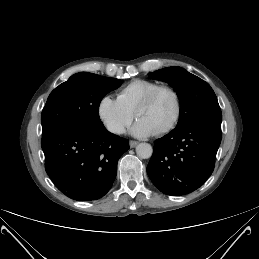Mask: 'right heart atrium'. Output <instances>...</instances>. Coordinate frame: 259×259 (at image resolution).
<instances>
[{
	"label": "right heart atrium",
	"instance_id": "1",
	"mask_svg": "<svg viewBox=\"0 0 259 259\" xmlns=\"http://www.w3.org/2000/svg\"><path fill=\"white\" fill-rule=\"evenodd\" d=\"M98 117L108 131L123 133L133 122L134 115L126 110L117 99L104 96L98 103Z\"/></svg>",
	"mask_w": 259,
	"mask_h": 259
}]
</instances>
